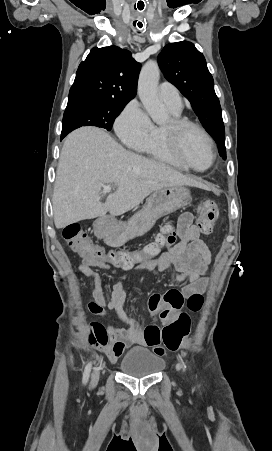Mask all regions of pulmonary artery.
<instances>
[{
  "instance_id": "pulmonary-artery-1",
  "label": "pulmonary artery",
  "mask_w": 272,
  "mask_h": 451,
  "mask_svg": "<svg viewBox=\"0 0 272 451\" xmlns=\"http://www.w3.org/2000/svg\"><path fill=\"white\" fill-rule=\"evenodd\" d=\"M159 94L162 100L168 103L174 110L181 111L182 99L178 90L173 85L168 83L160 84Z\"/></svg>"
}]
</instances>
